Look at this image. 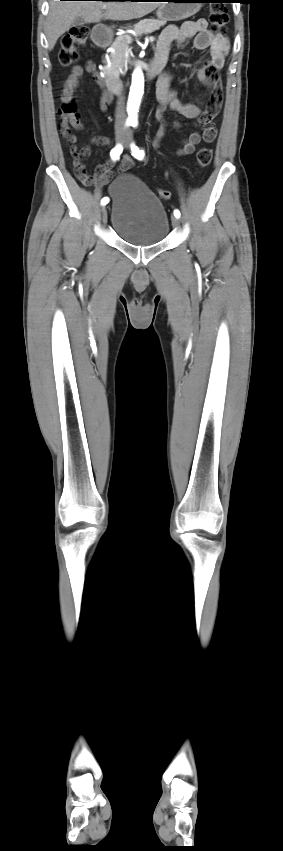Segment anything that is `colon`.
I'll list each match as a JSON object with an SVG mask.
<instances>
[{
	"label": "colon",
	"instance_id": "obj_1",
	"mask_svg": "<svg viewBox=\"0 0 283 851\" xmlns=\"http://www.w3.org/2000/svg\"><path fill=\"white\" fill-rule=\"evenodd\" d=\"M209 20L213 31L223 34L226 31V25L229 20L228 11L225 6L216 4L210 10ZM89 30L86 26H78L66 33L61 39V47L58 54V60L63 66H70L78 59V49L83 46L88 39ZM76 104L73 101L65 102L60 110L62 116L61 128L68 122L78 121L76 114ZM209 137L216 134V129L212 125H208L205 129ZM196 160L199 166L206 167L212 160V149L203 147L196 154ZM76 176L83 183L89 184L92 182V177L81 168H75ZM159 196L163 200L170 198V192L164 189H159Z\"/></svg>",
	"mask_w": 283,
	"mask_h": 851
}]
</instances>
